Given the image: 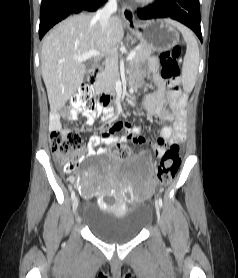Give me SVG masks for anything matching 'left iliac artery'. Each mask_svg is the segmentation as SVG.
<instances>
[{"instance_id": "44dca946", "label": "left iliac artery", "mask_w": 238, "mask_h": 278, "mask_svg": "<svg viewBox=\"0 0 238 278\" xmlns=\"http://www.w3.org/2000/svg\"><path fill=\"white\" fill-rule=\"evenodd\" d=\"M157 203L159 204L160 207H162V199L159 198V200L157 201Z\"/></svg>"}]
</instances>
